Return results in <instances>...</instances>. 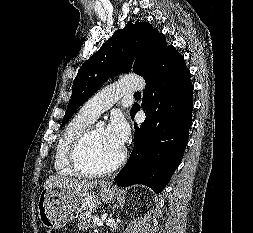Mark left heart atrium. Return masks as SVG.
<instances>
[{
    "label": "left heart atrium",
    "mask_w": 253,
    "mask_h": 233,
    "mask_svg": "<svg viewBox=\"0 0 253 233\" xmlns=\"http://www.w3.org/2000/svg\"><path fill=\"white\" fill-rule=\"evenodd\" d=\"M109 141L117 148L122 149L129 137V125L121 115H114L105 129Z\"/></svg>",
    "instance_id": "obj_1"
}]
</instances>
